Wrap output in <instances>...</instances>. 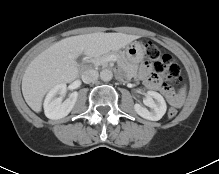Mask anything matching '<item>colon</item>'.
I'll return each instance as SVG.
<instances>
[{"label":"colon","mask_w":219,"mask_h":174,"mask_svg":"<svg viewBox=\"0 0 219 174\" xmlns=\"http://www.w3.org/2000/svg\"><path fill=\"white\" fill-rule=\"evenodd\" d=\"M146 53L156 74L174 84L182 82L181 68L170 54L161 51L151 43L146 44ZM167 114L169 118H174L177 115V110L170 108Z\"/></svg>","instance_id":"colon-1"}]
</instances>
